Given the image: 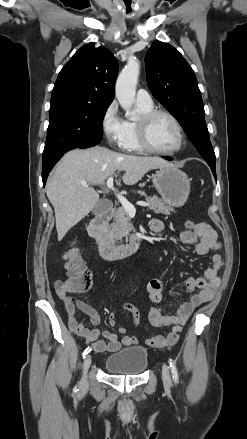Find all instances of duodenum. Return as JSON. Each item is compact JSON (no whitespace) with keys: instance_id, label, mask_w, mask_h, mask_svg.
Segmentation results:
<instances>
[{"instance_id":"1","label":"duodenum","mask_w":247,"mask_h":439,"mask_svg":"<svg viewBox=\"0 0 247 439\" xmlns=\"http://www.w3.org/2000/svg\"><path fill=\"white\" fill-rule=\"evenodd\" d=\"M113 215V208L109 207L95 218L88 226V234L95 239L98 244L101 256L108 260H115L129 256L139 250L141 240L133 238L124 244H115L106 234V226Z\"/></svg>"}]
</instances>
